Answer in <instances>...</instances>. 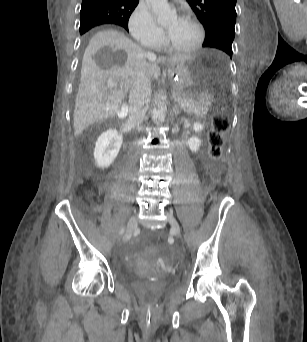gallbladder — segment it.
Segmentation results:
<instances>
[{"mask_svg": "<svg viewBox=\"0 0 307 342\" xmlns=\"http://www.w3.org/2000/svg\"><path fill=\"white\" fill-rule=\"evenodd\" d=\"M119 117L120 118H127L128 117V108L127 107H120L119 108Z\"/></svg>", "mask_w": 307, "mask_h": 342, "instance_id": "1", "label": "gallbladder"}]
</instances>
